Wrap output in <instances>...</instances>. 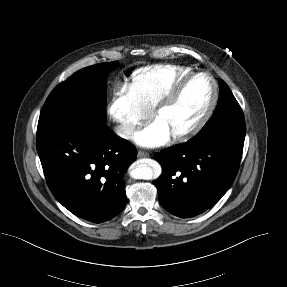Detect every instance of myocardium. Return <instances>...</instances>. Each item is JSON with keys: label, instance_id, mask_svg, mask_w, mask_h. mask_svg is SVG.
I'll return each instance as SVG.
<instances>
[{"label": "myocardium", "instance_id": "f54148a6", "mask_svg": "<svg viewBox=\"0 0 287 287\" xmlns=\"http://www.w3.org/2000/svg\"><path fill=\"white\" fill-rule=\"evenodd\" d=\"M206 77L211 83V98L203 113L187 128L174 132L171 137L176 141H183L196 134L211 117L218 101V86L212 75L206 72H191L178 80L169 91L151 109L150 115L155 118L165 109L169 108L178 98L184 87L194 78Z\"/></svg>", "mask_w": 287, "mask_h": 287}]
</instances>
